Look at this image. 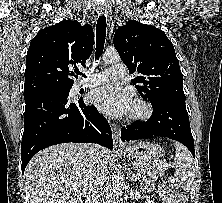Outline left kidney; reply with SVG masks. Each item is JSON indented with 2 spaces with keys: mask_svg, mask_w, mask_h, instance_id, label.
<instances>
[{
  "mask_svg": "<svg viewBox=\"0 0 222 203\" xmlns=\"http://www.w3.org/2000/svg\"><path fill=\"white\" fill-rule=\"evenodd\" d=\"M145 203H154V201H153V200H150V198L147 196Z\"/></svg>",
  "mask_w": 222,
  "mask_h": 203,
  "instance_id": "left-kidney-1",
  "label": "left kidney"
}]
</instances>
